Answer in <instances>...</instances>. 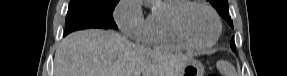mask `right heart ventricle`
Wrapping results in <instances>:
<instances>
[{"label":"right heart ventricle","mask_w":287,"mask_h":76,"mask_svg":"<svg viewBox=\"0 0 287 76\" xmlns=\"http://www.w3.org/2000/svg\"><path fill=\"white\" fill-rule=\"evenodd\" d=\"M185 0H162L149 13L145 20L140 41L153 49L164 51H182L187 47L182 44L172 29V16L174 11Z\"/></svg>","instance_id":"obj_1"}]
</instances>
